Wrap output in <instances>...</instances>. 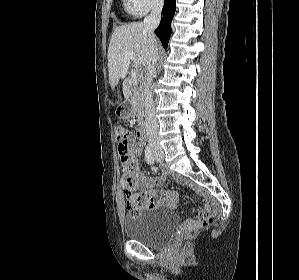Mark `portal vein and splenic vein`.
<instances>
[{
    "mask_svg": "<svg viewBox=\"0 0 299 280\" xmlns=\"http://www.w3.org/2000/svg\"><path fill=\"white\" fill-rule=\"evenodd\" d=\"M133 59H134V53L133 52H126L125 53V61L126 62H130ZM131 77H132L133 84L136 85L137 84V73L135 71L132 72Z\"/></svg>",
    "mask_w": 299,
    "mask_h": 280,
    "instance_id": "18ae733b",
    "label": "portal vein and splenic vein"
}]
</instances>
